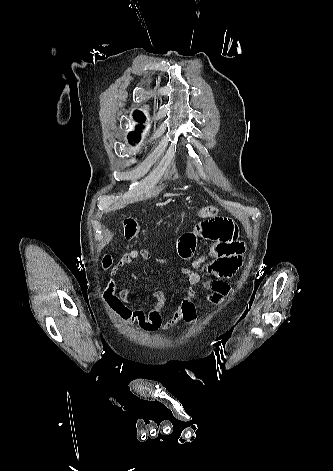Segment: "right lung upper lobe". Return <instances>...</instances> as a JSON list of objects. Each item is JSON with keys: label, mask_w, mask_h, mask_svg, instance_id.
I'll use <instances>...</instances> for the list:
<instances>
[{"label": "right lung upper lobe", "mask_w": 333, "mask_h": 471, "mask_svg": "<svg viewBox=\"0 0 333 471\" xmlns=\"http://www.w3.org/2000/svg\"><path fill=\"white\" fill-rule=\"evenodd\" d=\"M133 117L135 120L139 121L140 123L144 122L146 119L144 114L141 111H134ZM142 128H143L142 126H137L136 131L140 132Z\"/></svg>", "instance_id": "right-lung-upper-lobe-1"}]
</instances>
